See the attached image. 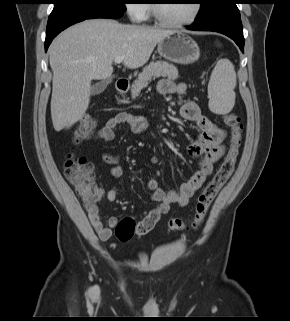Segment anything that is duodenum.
<instances>
[{"instance_id": "duodenum-1", "label": "duodenum", "mask_w": 290, "mask_h": 321, "mask_svg": "<svg viewBox=\"0 0 290 321\" xmlns=\"http://www.w3.org/2000/svg\"><path fill=\"white\" fill-rule=\"evenodd\" d=\"M116 88L119 92H126L129 88V81L126 78H121L116 82Z\"/></svg>"}]
</instances>
